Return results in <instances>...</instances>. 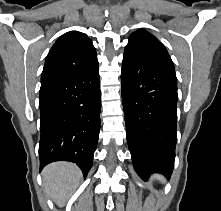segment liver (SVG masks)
I'll use <instances>...</instances> for the list:
<instances>
[{"label":"liver","mask_w":221,"mask_h":211,"mask_svg":"<svg viewBox=\"0 0 221 211\" xmlns=\"http://www.w3.org/2000/svg\"><path fill=\"white\" fill-rule=\"evenodd\" d=\"M81 171L73 163L54 162L42 172L46 194L59 207H63L80 184Z\"/></svg>","instance_id":"obj_1"}]
</instances>
